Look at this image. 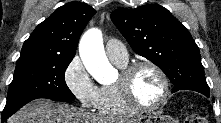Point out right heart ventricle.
Here are the masks:
<instances>
[{"label":"right heart ventricle","instance_id":"obj_1","mask_svg":"<svg viewBox=\"0 0 221 123\" xmlns=\"http://www.w3.org/2000/svg\"><path fill=\"white\" fill-rule=\"evenodd\" d=\"M115 64L122 69L127 66V64ZM96 109L100 115L113 119L131 117L135 113L123 101L116 84L104 85L99 88Z\"/></svg>","mask_w":221,"mask_h":123}]
</instances>
